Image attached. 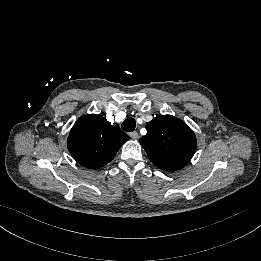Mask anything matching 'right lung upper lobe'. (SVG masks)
Masks as SVG:
<instances>
[{"label":"right lung upper lobe","mask_w":261,"mask_h":261,"mask_svg":"<svg viewBox=\"0 0 261 261\" xmlns=\"http://www.w3.org/2000/svg\"><path fill=\"white\" fill-rule=\"evenodd\" d=\"M129 139L118 126L111 125L106 116H82L72 127L68 150L82 166L97 169L109 163Z\"/></svg>","instance_id":"obj_1"}]
</instances>
